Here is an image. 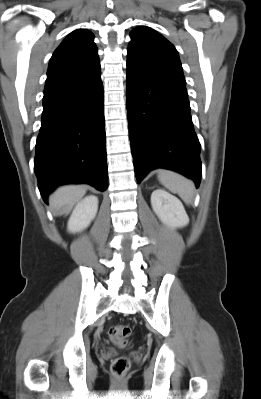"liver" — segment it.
<instances>
[{"instance_id":"6515ba94","label":"liver","mask_w":261,"mask_h":399,"mask_svg":"<svg viewBox=\"0 0 261 399\" xmlns=\"http://www.w3.org/2000/svg\"><path fill=\"white\" fill-rule=\"evenodd\" d=\"M86 187L83 185H68L58 188L50 196V205L59 211V214H67L73 204L84 196Z\"/></svg>"}]
</instances>
